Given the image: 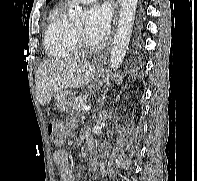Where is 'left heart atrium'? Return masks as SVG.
I'll use <instances>...</instances> for the list:
<instances>
[{
  "label": "left heart atrium",
  "instance_id": "39dd6f15",
  "mask_svg": "<svg viewBox=\"0 0 197 181\" xmlns=\"http://www.w3.org/2000/svg\"><path fill=\"white\" fill-rule=\"evenodd\" d=\"M87 36L93 42H101L109 33L112 13L106 5H95L89 10Z\"/></svg>",
  "mask_w": 197,
  "mask_h": 181
}]
</instances>
